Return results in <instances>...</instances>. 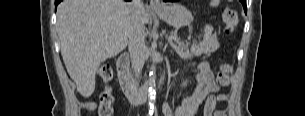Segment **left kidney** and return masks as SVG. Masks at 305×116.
Returning <instances> with one entry per match:
<instances>
[{
	"instance_id": "5707ae66",
	"label": "left kidney",
	"mask_w": 305,
	"mask_h": 116,
	"mask_svg": "<svg viewBox=\"0 0 305 116\" xmlns=\"http://www.w3.org/2000/svg\"><path fill=\"white\" fill-rule=\"evenodd\" d=\"M187 85V81H184L183 83H182V86H186Z\"/></svg>"
}]
</instances>
